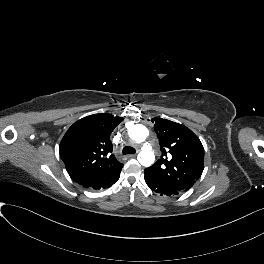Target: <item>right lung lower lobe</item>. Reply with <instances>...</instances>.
Returning a JSON list of instances; mask_svg holds the SVG:
<instances>
[{
  "mask_svg": "<svg viewBox=\"0 0 264 264\" xmlns=\"http://www.w3.org/2000/svg\"><path fill=\"white\" fill-rule=\"evenodd\" d=\"M121 169L122 168H120L118 171H116L114 174H112L111 176L107 177L103 181H101V182L89 187V189L99 190V189H105V188L111 187L115 182L118 181V179L120 177Z\"/></svg>",
  "mask_w": 264,
  "mask_h": 264,
  "instance_id": "1",
  "label": "right lung lower lobe"
}]
</instances>
